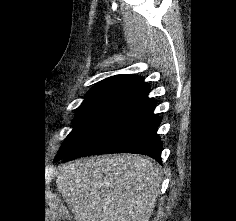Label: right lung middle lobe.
Returning a JSON list of instances; mask_svg holds the SVG:
<instances>
[{
  "label": "right lung middle lobe",
  "instance_id": "right-lung-middle-lobe-1",
  "mask_svg": "<svg viewBox=\"0 0 236 221\" xmlns=\"http://www.w3.org/2000/svg\"><path fill=\"white\" fill-rule=\"evenodd\" d=\"M135 96L132 93L86 95L84 102L77 109L73 130L63 142L55 159H62L72 152L101 124Z\"/></svg>",
  "mask_w": 236,
  "mask_h": 221
}]
</instances>
